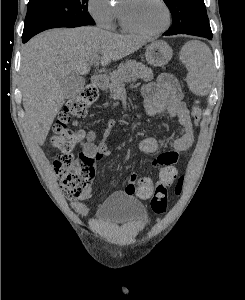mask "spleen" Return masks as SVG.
Wrapping results in <instances>:
<instances>
[{"label":"spleen","mask_w":245,"mask_h":300,"mask_svg":"<svg viewBox=\"0 0 245 300\" xmlns=\"http://www.w3.org/2000/svg\"><path fill=\"white\" fill-rule=\"evenodd\" d=\"M187 68V85L195 94L204 96L211 89L212 55L210 49L197 41L188 43L183 50Z\"/></svg>","instance_id":"spleen-1"}]
</instances>
